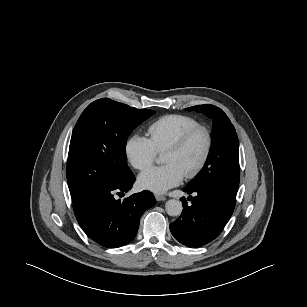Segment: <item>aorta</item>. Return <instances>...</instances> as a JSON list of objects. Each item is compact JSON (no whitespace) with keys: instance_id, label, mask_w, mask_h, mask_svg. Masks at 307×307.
<instances>
[{"instance_id":"obj_1","label":"aorta","mask_w":307,"mask_h":307,"mask_svg":"<svg viewBox=\"0 0 307 307\" xmlns=\"http://www.w3.org/2000/svg\"><path fill=\"white\" fill-rule=\"evenodd\" d=\"M166 213L169 216H179L182 212V203L176 199H170L165 204Z\"/></svg>"}]
</instances>
